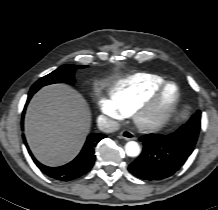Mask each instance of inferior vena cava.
I'll use <instances>...</instances> for the list:
<instances>
[{"mask_svg": "<svg viewBox=\"0 0 218 210\" xmlns=\"http://www.w3.org/2000/svg\"><path fill=\"white\" fill-rule=\"evenodd\" d=\"M97 122L98 128L105 133H112L119 130L120 128V124L117 121L103 115L98 117Z\"/></svg>", "mask_w": 218, "mask_h": 210, "instance_id": "602c4592", "label": "inferior vena cava"}]
</instances>
